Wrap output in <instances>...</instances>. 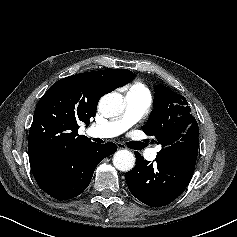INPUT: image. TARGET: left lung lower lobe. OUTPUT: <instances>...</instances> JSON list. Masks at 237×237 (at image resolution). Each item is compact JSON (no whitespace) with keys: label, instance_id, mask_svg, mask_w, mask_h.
I'll return each instance as SVG.
<instances>
[{"label":"left lung lower lobe","instance_id":"1","mask_svg":"<svg viewBox=\"0 0 237 237\" xmlns=\"http://www.w3.org/2000/svg\"><path fill=\"white\" fill-rule=\"evenodd\" d=\"M137 164L125 174L130 192L138 200L151 207H160L171 203L187 187L191 180L195 157L167 159L156 157L150 163L136 151Z\"/></svg>","mask_w":237,"mask_h":237}]
</instances>
